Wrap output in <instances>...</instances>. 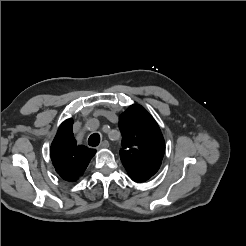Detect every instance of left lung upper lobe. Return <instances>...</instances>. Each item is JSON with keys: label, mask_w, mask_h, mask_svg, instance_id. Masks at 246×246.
Instances as JSON below:
<instances>
[{"label": "left lung upper lobe", "mask_w": 246, "mask_h": 246, "mask_svg": "<svg viewBox=\"0 0 246 246\" xmlns=\"http://www.w3.org/2000/svg\"><path fill=\"white\" fill-rule=\"evenodd\" d=\"M121 161L132 180L144 182L160 168L165 142L154 118L141 106L131 105L119 117Z\"/></svg>", "instance_id": "left-lung-upper-lobe-1"}]
</instances>
